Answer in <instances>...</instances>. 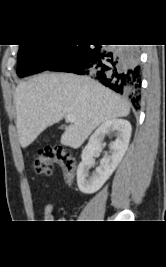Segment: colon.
I'll return each mask as SVG.
<instances>
[{
  "label": "colon",
  "instance_id": "1",
  "mask_svg": "<svg viewBox=\"0 0 166 267\" xmlns=\"http://www.w3.org/2000/svg\"><path fill=\"white\" fill-rule=\"evenodd\" d=\"M55 164L61 166L67 181L73 180L75 159L69 151L61 148L49 147L40 150L34 162V169L39 176H49Z\"/></svg>",
  "mask_w": 166,
  "mask_h": 267
}]
</instances>
